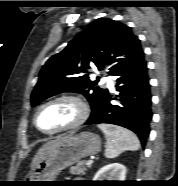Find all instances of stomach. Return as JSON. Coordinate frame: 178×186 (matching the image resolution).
<instances>
[{
	"instance_id": "1",
	"label": "stomach",
	"mask_w": 178,
	"mask_h": 186,
	"mask_svg": "<svg viewBox=\"0 0 178 186\" xmlns=\"http://www.w3.org/2000/svg\"><path fill=\"white\" fill-rule=\"evenodd\" d=\"M101 149V140L95 133L85 131L68 135L67 139L52 149L44 159L35 165L26 176V181H55L65 168L81 159L97 154ZM30 185H47L48 182H30Z\"/></svg>"
}]
</instances>
